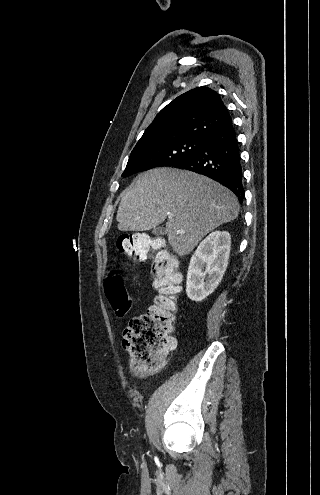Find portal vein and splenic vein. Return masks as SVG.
I'll return each instance as SVG.
<instances>
[{
  "label": "portal vein and splenic vein",
  "instance_id": "obj_1",
  "mask_svg": "<svg viewBox=\"0 0 320 495\" xmlns=\"http://www.w3.org/2000/svg\"><path fill=\"white\" fill-rule=\"evenodd\" d=\"M168 218H172L173 217V214L172 213H168Z\"/></svg>",
  "mask_w": 320,
  "mask_h": 495
}]
</instances>
